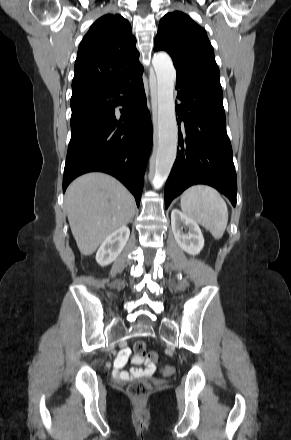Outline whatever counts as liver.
I'll list each match as a JSON object with an SVG mask.
<instances>
[{"label":"liver","instance_id":"obj_1","mask_svg":"<svg viewBox=\"0 0 291 440\" xmlns=\"http://www.w3.org/2000/svg\"><path fill=\"white\" fill-rule=\"evenodd\" d=\"M72 234L83 255L93 254L114 231L127 225L135 213L132 194L114 177L88 173L75 179L65 195Z\"/></svg>","mask_w":291,"mask_h":440}]
</instances>
